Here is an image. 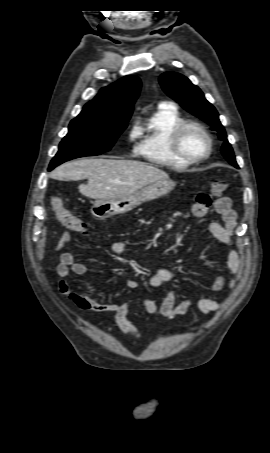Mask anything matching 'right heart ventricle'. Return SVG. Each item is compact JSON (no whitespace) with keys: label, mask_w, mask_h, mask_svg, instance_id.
I'll list each match as a JSON object with an SVG mask.
<instances>
[{"label":"right heart ventricle","mask_w":270,"mask_h":453,"mask_svg":"<svg viewBox=\"0 0 270 453\" xmlns=\"http://www.w3.org/2000/svg\"><path fill=\"white\" fill-rule=\"evenodd\" d=\"M184 121L175 106L164 105L139 128L141 141L137 153L146 161L169 168H186L190 163L179 159L171 150L172 131Z\"/></svg>","instance_id":"right-heart-ventricle-1"}]
</instances>
